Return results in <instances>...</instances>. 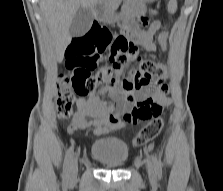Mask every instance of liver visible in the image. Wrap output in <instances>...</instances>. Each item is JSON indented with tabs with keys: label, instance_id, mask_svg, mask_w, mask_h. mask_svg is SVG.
<instances>
[{
	"label": "liver",
	"instance_id": "1",
	"mask_svg": "<svg viewBox=\"0 0 223 191\" xmlns=\"http://www.w3.org/2000/svg\"><path fill=\"white\" fill-rule=\"evenodd\" d=\"M103 0H40V8L46 18L54 40L58 62L71 42L70 25L80 7L93 9Z\"/></svg>",
	"mask_w": 223,
	"mask_h": 191
}]
</instances>
